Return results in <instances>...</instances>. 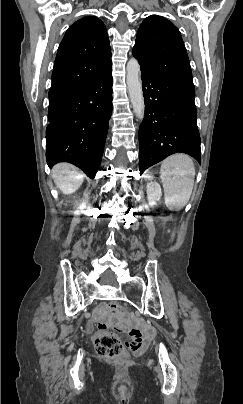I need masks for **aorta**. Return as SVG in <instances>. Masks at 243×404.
Here are the masks:
<instances>
[{
  "mask_svg": "<svg viewBox=\"0 0 243 404\" xmlns=\"http://www.w3.org/2000/svg\"><path fill=\"white\" fill-rule=\"evenodd\" d=\"M126 70L128 94L132 102L134 114H136V118L142 120L144 116L145 104L140 80V66L135 58H131V60H129Z\"/></svg>",
  "mask_w": 243,
  "mask_h": 404,
  "instance_id": "aorta-1",
  "label": "aorta"
}]
</instances>
